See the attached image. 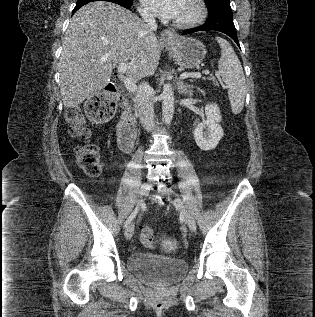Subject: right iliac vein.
Returning <instances> with one entry per match:
<instances>
[{
	"instance_id": "1",
	"label": "right iliac vein",
	"mask_w": 315,
	"mask_h": 317,
	"mask_svg": "<svg viewBox=\"0 0 315 317\" xmlns=\"http://www.w3.org/2000/svg\"><path fill=\"white\" fill-rule=\"evenodd\" d=\"M150 187L151 185L148 184V183H143L140 187V190H139V201H138V204H141L143 199L149 194V191H150ZM134 233V224H130L127 228H126V231H125V237L127 239H130L132 237Z\"/></svg>"
}]
</instances>
